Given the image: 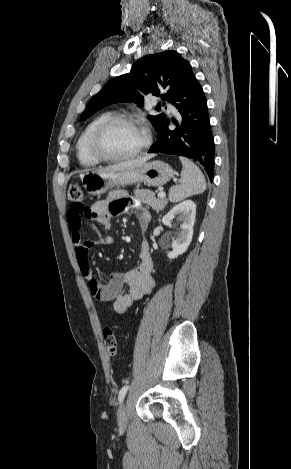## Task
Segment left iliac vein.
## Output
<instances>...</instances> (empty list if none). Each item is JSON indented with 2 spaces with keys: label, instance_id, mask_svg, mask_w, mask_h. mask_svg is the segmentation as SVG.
I'll list each match as a JSON object with an SVG mask.
<instances>
[{
  "label": "left iliac vein",
  "instance_id": "left-iliac-vein-1",
  "mask_svg": "<svg viewBox=\"0 0 291 469\" xmlns=\"http://www.w3.org/2000/svg\"><path fill=\"white\" fill-rule=\"evenodd\" d=\"M128 420V410H127V405L125 402L121 404L118 410V422L119 426L121 428H124L126 426Z\"/></svg>",
  "mask_w": 291,
  "mask_h": 469
}]
</instances>
